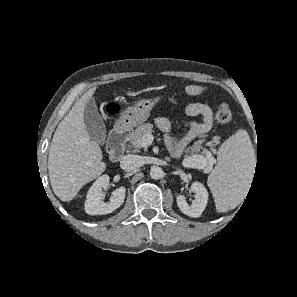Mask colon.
<instances>
[{"mask_svg": "<svg viewBox=\"0 0 297 297\" xmlns=\"http://www.w3.org/2000/svg\"><path fill=\"white\" fill-rule=\"evenodd\" d=\"M204 92V88L198 85H188L185 87V93L189 96H196ZM107 113L114 115L119 112V106L114 102H107L104 105ZM215 121L220 124L228 123L232 118L231 107L227 103H221L215 111Z\"/></svg>", "mask_w": 297, "mask_h": 297, "instance_id": "5ec220e1", "label": "colon"}]
</instances>
